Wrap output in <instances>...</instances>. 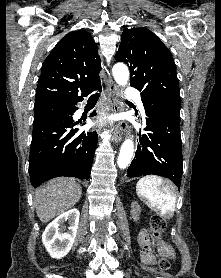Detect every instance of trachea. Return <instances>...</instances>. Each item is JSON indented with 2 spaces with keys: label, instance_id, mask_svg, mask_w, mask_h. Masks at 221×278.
Wrapping results in <instances>:
<instances>
[{
  "label": "trachea",
  "instance_id": "1",
  "mask_svg": "<svg viewBox=\"0 0 221 278\" xmlns=\"http://www.w3.org/2000/svg\"><path fill=\"white\" fill-rule=\"evenodd\" d=\"M100 97L99 93H95L93 95L90 96L89 100H98Z\"/></svg>",
  "mask_w": 221,
  "mask_h": 278
}]
</instances>
